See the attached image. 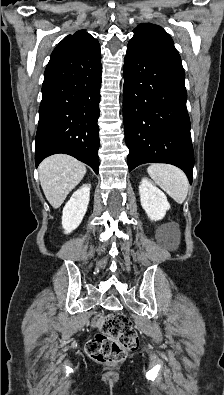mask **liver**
I'll use <instances>...</instances> for the list:
<instances>
[{"mask_svg": "<svg viewBox=\"0 0 224 395\" xmlns=\"http://www.w3.org/2000/svg\"><path fill=\"white\" fill-rule=\"evenodd\" d=\"M38 171L46 199L56 209L83 179L86 167L69 155L56 154L44 159Z\"/></svg>", "mask_w": 224, "mask_h": 395, "instance_id": "liver-1", "label": "liver"}]
</instances>
